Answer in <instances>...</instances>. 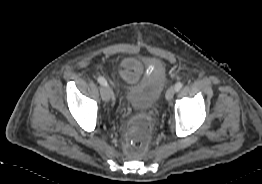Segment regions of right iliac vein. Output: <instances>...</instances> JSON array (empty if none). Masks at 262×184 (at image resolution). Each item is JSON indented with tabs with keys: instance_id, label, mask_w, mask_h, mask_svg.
Instances as JSON below:
<instances>
[{
	"instance_id": "1",
	"label": "right iliac vein",
	"mask_w": 262,
	"mask_h": 184,
	"mask_svg": "<svg viewBox=\"0 0 262 184\" xmlns=\"http://www.w3.org/2000/svg\"><path fill=\"white\" fill-rule=\"evenodd\" d=\"M111 95H112V89L110 86H106L101 89V97L104 101H109Z\"/></svg>"
}]
</instances>
